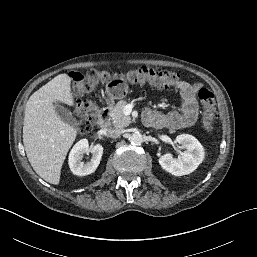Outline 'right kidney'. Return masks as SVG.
Here are the masks:
<instances>
[{
	"label": "right kidney",
	"mask_w": 257,
	"mask_h": 257,
	"mask_svg": "<svg viewBox=\"0 0 257 257\" xmlns=\"http://www.w3.org/2000/svg\"><path fill=\"white\" fill-rule=\"evenodd\" d=\"M91 152L92 158L87 163L82 161L83 154ZM103 147L100 144L89 146L87 139L77 142L69 154V167L73 174L85 176L93 173L101 160Z\"/></svg>",
	"instance_id": "ca27d5eb"
}]
</instances>
